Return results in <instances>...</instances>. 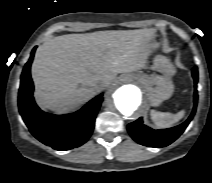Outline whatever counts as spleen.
<instances>
[{"instance_id":"spleen-1","label":"spleen","mask_w":212,"mask_h":183,"mask_svg":"<svg viewBox=\"0 0 212 183\" xmlns=\"http://www.w3.org/2000/svg\"><path fill=\"white\" fill-rule=\"evenodd\" d=\"M184 110L179 111L176 114L169 112H159L156 110H151L150 116L154 124L159 128H168L174 123L181 120L184 116Z\"/></svg>"}]
</instances>
